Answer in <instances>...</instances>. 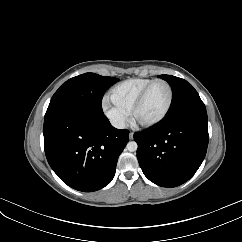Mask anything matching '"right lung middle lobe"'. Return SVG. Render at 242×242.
<instances>
[{
    "mask_svg": "<svg viewBox=\"0 0 242 242\" xmlns=\"http://www.w3.org/2000/svg\"><path fill=\"white\" fill-rule=\"evenodd\" d=\"M118 78L85 73L67 80L53 95L45 116L66 109H84L103 113L101 101L104 92Z\"/></svg>",
    "mask_w": 242,
    "mask_h": 242,
    "instance_id": "1",
    "label": "right lung middle lobe"
}]
</instances>
